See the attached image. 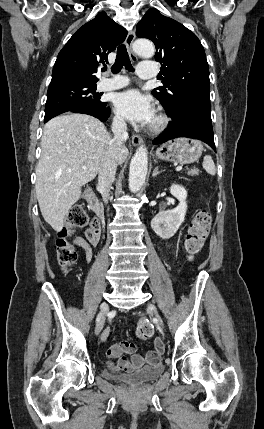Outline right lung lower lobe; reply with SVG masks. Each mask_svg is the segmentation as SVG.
I'll return each mask as SVG.
<instances>
[{"mask_svg": "<svg viewBox=\"0 0 264 429\" xmlns=\"http://www.w3.org/2000/svg\"><path fill=\"white\" fill-rule=\"evenodd\" d=\"M65 113H84L92 115L102 122L106 121L110 115V109L106 106H104L102 109H92V108H75L71 109ZM47 122V121H44Z\"/></svg>", "mask_w": 264, "mask_h": 429, "instance_id": "98d812e1", "label": "right lung lower lobe"}]
</instances>
